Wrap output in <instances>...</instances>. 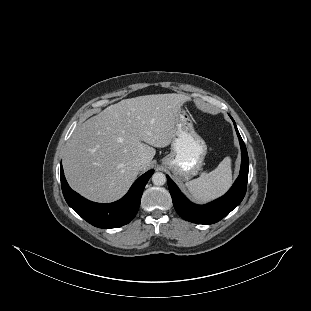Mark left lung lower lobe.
<instances>
[{
  "label": "left lung lower lobe",
  "instance_id": "obj_1",
  "mask_svg": "<svg viewBox=\"0 0 311 311\" xmlns=\"http://www.w3.org/2000/svg\"><path fill=\"white\" fill-rule=\"evenodd\" d=\"M232 121L234 122L233 119ZM234 126L241 147V168L237 180L224 196L206 205L193 204L182 194L170 177L167 176L173 205L183 219L197 224H213L224 218L243 200L247 189L249 160L246 146L237 130L235 122Z\"/></svg>",
  "mask_w": 311,
  "mask_h": 311
}]
</instances>
